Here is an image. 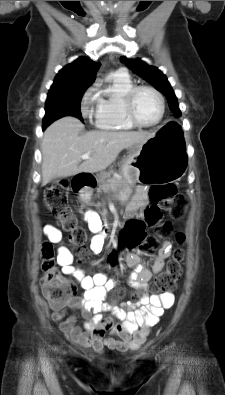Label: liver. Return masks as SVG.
I'll list each match as a JSON object with an SVG mask.
<instances>
[{
    "label": "liver",
    "instance_id": "6515ba94",
    "mask_svg": "<svg viewBox=\"0 0 225 395\" xmlns=\"http://www.w3.org/2000/svg\"><path fill=\"white\" fill-rule=\"evenodd\" d=\"M83 129L77 118L63 117L45 130L41 144L43 186L53 178L105 170L122 150L143 144L155 135L147 131H91L79 136ZM88 152L90 159L80 164L81 156Z\"/></svg>",
    "mask_w": 225,
    "mask_h": 395
}]
</instances>
